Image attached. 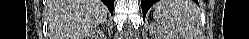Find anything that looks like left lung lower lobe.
<instances>
[{
  "instance_id": "0a47b994",
  "label": "left lung lower lobe",
  "mask_w": 249,
  "mask_h": 39,
  "mask_svg": "<svg viewBox=\"0 0 249 39\" xmlns=\"http://www.w3.org/2000/svg\"><path fill=\"white\" fill-rule=\"evenodd\" d=\"M157 0H141L143 19L146 16L148 9L156 2Z\"/></svg>"
}]
</instances>
